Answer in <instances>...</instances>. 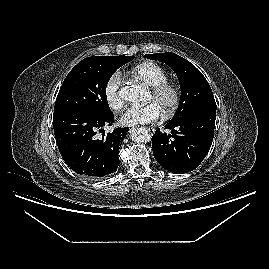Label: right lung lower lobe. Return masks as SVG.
<instances>
[{"mask_svg":"<svg viewBox=\"0 0 269 269\" xmlns=\"http://www.w3.org/2000/svg\"><path fill=\"white\" fill-rule=\"evenodd\" d=\"M113 113L99 114L83 109L54 111L53 127L58 149L65 163L76 173L91 180L107 177L119 165L118 150L128 127L105 134L112 125ZM102 133L98 137L97 131Z\"/></svg>","mask_w":269,"mask_h":269,"instance_id":"right-lung-lower-lobe-1","label":"right lung lower lobe"}]
</instances>
